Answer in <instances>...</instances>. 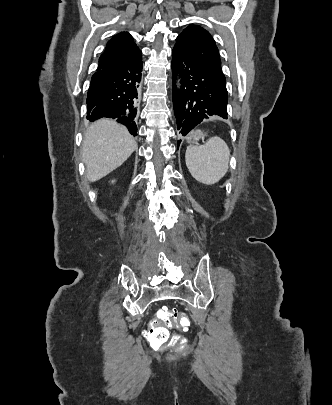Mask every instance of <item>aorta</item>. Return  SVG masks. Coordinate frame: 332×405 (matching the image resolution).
Returning <instances> with one entry per match:
<instances>
[{"label": "aorta", "mask_w": 332, "mask_h": 405, "mask_svg": "<svg viewBox=\"0 0 332 405\" xmlns=\"http://www.w3.org/2000/svg\"><path fill=\"white\" fill-rule=\"evenodd\" d=\"M177 88L179 89L181 84H180V78H178L177 82H176Z\"/></svg>", "instance_id": "762f6f07"}]
</instances>
